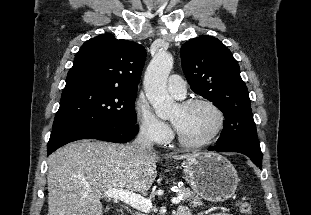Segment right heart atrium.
<instances>
[{
	"label": "right heart atrium",
	"mask_w": 311,
	"mask_h": 215,
	"mask_svg": "<svg viewBox=\"0 0 311 215\" xmlns=\"http://www.w3.org/2000/svg\"><path fill=\"white\" fill-rule=\"evenodd\" d=\"M133 113L140 133L148 140L162 144L171 138L169 126L155 115L143 96L135 100Z\"/></svg>",
	"instance_id": "right-heart-atrium-1"
}]
</instances>
